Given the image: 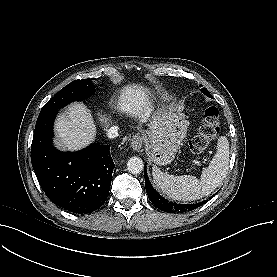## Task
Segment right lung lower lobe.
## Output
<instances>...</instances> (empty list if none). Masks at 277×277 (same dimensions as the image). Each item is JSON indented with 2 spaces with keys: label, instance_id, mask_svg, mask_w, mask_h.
<instances>
[{
  "label": "right lung lower lobe",
  "instance_id": "right-lung-lower-lobe-1",
  "mask_svg": "<svg viewBox=\"0 0 277 277\" xmlns=\"http://www.w3.org/2000/svg\"><path fill=\"white\" fill-rule=\"evenodd\" d=\"M58 110L39 114L31 146V162L48 198L77 214L98 209L107 199L114 163L108 145L91 144L79 152L63 153L52 145Z\"/></svg>",
  "mask_w": 277,
  "mask_h": 277
}]
</instances>
